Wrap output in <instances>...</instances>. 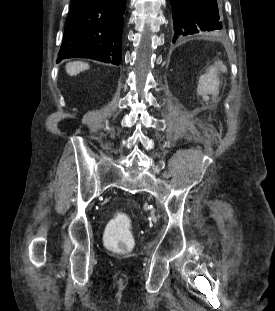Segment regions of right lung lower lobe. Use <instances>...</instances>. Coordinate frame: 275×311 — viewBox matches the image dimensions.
<instances>
[{
    "mask_svg": "<svg viewBox=\"0 0 275 311\" xmlns=\"http://www.w3.org/2000/svg\"><path fill=\"white\" fill-rule=\"evenodd\" d=\"M126 0H72L57 63L90 58L119 65Z\"/></svg>",
    "mask_w": 275,
    "mask_h": 311,
    "instance_id": "right-lung-lower-lobe-1",
    "label": "right lung lower lobe"
}]
</instances>
